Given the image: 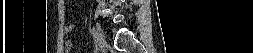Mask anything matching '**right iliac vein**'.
<instances>
[{
    "label": "right iliac vein",
    "mask_w": 253,
    "mask_h": 53,
    "mask_svg": "<svg viewBox=\"0 0 253 53\" xmlns=\"http://www.w3.org/2000/svg\"><path fill=\"white\" fill-rule=\"evenodd\" d=\"M95 33H96L98 45L101 48H103L106 45V41H105V38L103 36V33H102L101 28H100L99 25L96 26Z\"/></svg>",
    "instance_id": "obj_1"
}]
</instances>
